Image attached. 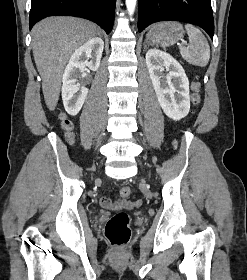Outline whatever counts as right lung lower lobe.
Segmentation results:
<instances>
[{
    "instance_id": "obj_1",
    "label": "right lung lower lobe",
    "mask_w": 247,
    "mask_h": 280,
    "mask_svg": "<svg viewBox=\"0 0 247 280\" xmlns=\"http://www.w3.org/2000/svg\"><path fill=\"white\" fill-rule=\"evenodd\" d=\"M116 0H32L29 26L47 16L69 15L98 23L107 34L113 27Z\"/></svg>"
}]
</instances>
